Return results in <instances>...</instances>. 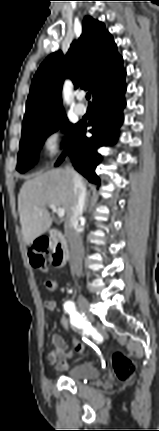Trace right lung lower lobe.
<instances>
[{"instance_id":"1","label":"right lung lower lobe","mask_w":159,"mask_h":431,"mask_svg":"<svg viewBox=\"0 0 159 431\" xmlns=\"http://www.w3.org/2000/svg\"><path fill=\"white\" fill-rule=\"evenodd\" d=\"M126 91L125 75L102 88L93 100V119L87 124L78 123L63 154L56 162L59 165L66 155L73 161L74 168L85 176L89 182L99 184L100 179L95 173L102 156L97 152L101 146L112 145L116 142L119 127L123 122L122 110L126 105L124 93ZM87 126L92 137L85 136Z\"/></svg>"}]
</instances>
